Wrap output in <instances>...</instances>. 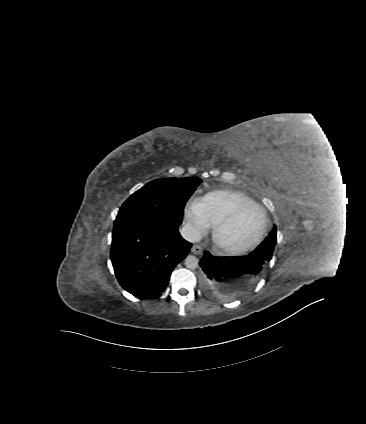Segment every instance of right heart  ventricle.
I'll list each match as a JSON object with an SVG mask.
<instances>
[{"label": "right heart ventricle", "instance_id": "e07e8e85", "mask_svg": "<svg viewBox=\"0 0 366 424\" xmlns=\"http://www.w3.org/2000/svg\"><path fill=\"white\" fill-rule=\"evenodd\" d=\"M202 203L210 226H214L239 205L256 202L243 192L223 189L209 192L203 197Z\"/></svg>", "mask_w": 366, "mask_h": 424}]
</instances>
